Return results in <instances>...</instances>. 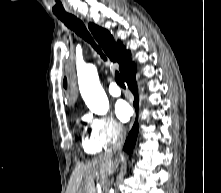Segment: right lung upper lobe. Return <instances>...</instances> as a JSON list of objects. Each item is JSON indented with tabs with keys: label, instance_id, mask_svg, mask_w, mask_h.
<instances>
[{
	"label": "right lung upper lobe",
	"instance_id": "cb5924a9",
	"mask_svg": "<svg viewBox=\"0 0 221 193\" xmlns=\"http://www.w3.org/2000/svg\"><path fill=\"white\" fill-rule=\"evenodd\" d=\"M88 27L110 60L119 63L122 77L135 67V64L131 61L129 51L125 49L121 42L115 43L113 36L106 29L93 23H89Z\"/></svg>",
	"mask_w": 221,
	"mask_h": 193
}]
</instances>
